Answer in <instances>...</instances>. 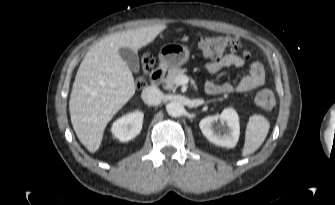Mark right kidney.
I'll use <instances>...</instances> for the list:
<instances>
[{"label": "right kidney", "mask_w": 335, "mask_h": 205, "mask_svg": "<svg viewBox=\"0 0 335 205\" xmlns=\"http://www.w3.org/2000/svg\"><path fill=\"white\" fill-rule=\"evenodd\" d=\"M143 118V112L134 111L117 119L111 127L113 136L121 142L135 138L141 132Z\"/></svg>", "instance_id": "right-kidney-1"}]
</instances>
